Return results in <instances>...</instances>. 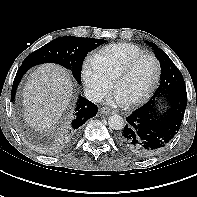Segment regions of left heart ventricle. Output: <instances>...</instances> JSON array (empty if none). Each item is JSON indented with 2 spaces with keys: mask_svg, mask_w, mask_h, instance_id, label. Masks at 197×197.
<instances>
[{
  "mask_svg": "<svg viewBox=\"0 0 197 197\" xmlns=\"http://www.w3.org/2000/svg\"><path fill=\"white\" fill-rule=\"evenodd\" d=\"M155 75V62L152 59H144L128 76L119 80L115 88L128 102L146 93L152 85Z\"/></svg>",
  "mask_w": 197,
  "mask_h": 197,
  "instance_id": "b2bd125f",
  "label": "left heart ventricle"
}]
</instances>
